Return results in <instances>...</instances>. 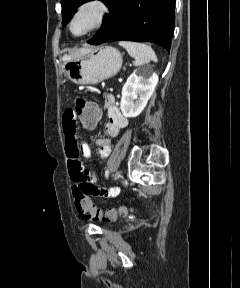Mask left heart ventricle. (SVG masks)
<instances>
[{"label": "left heart ventricle", "mask_w": 240, "mask_h": 288, "mask_svg": "<svg viewBox=\"0 0 240 288\" xmlns=\"http://www.w3.org/2000/svg\"><path fill=\"white\" fill-rule=\"evenodd\" d=\"M97 11L95 8L83 10L74 20L72 29L75 34L86 32L95 22Z\"/></svg>", "instance_id": "b2bd125f"}]
</instances>
